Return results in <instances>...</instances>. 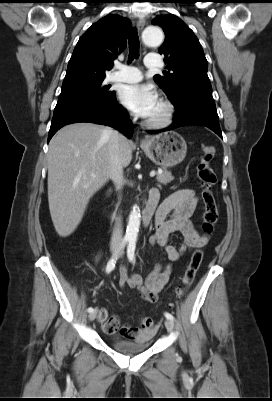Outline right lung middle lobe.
<instances>
[{"label":"right lung middle lobe","instance_id":"obj_1","mask_svg":"<svg viewBox=\"0 0 272 401\" xmlns=\"http://www.w3.org/2000/svg\"><path fill=\"white\" fill-rule=\"evenodd\" d=\"M109 88L103 84V80H100L62 90L54 112L82 104L105 105L116 97L115 92L110 91Z\"/></svg>","mask_w":272,"mask_h":401}]
</instances>
